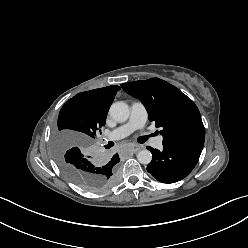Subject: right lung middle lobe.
Returning <instances> with one entry per match:
<instances>
[{"label":"right lung middle lobe","instance_id":"right-lung-middle-lobe-1","mask_svg":"<svg viewBox=\"0 0 248 248\" xmlns=\"http://www.w3.org/2000/svg\"><path fill=\"white\" fill-rule=\"evenodd\" d=\"M106 116L87 109L82 97L74 96L62 107L55 130V153L62 171L77 185L88 191H100L113 181L117 163L98 156L90 149L93 139L101 133ZM79 145L65 153L67 145Z\"/></svg>","mask_w":248,"mask_h":248}]
</instances>
